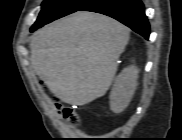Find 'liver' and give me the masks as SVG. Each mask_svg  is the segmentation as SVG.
<instances>
[{
  "mask_svg": "<svg viewBox=\"0 0 182 140\" xmlns=\"http://www.w3.org/2000/svg\"><path fill=\"white\" fill-rule=\"evenodd\" d=\"M129 33L108 16L75 12L33 35L32 68L61 101L88 104L110 88Z\"/></svg>",
  "mask_w": 182,
  "mask_h": 140,
  "instance_id": "6515ba94",
  "label": "liver"
}]
</instances>
